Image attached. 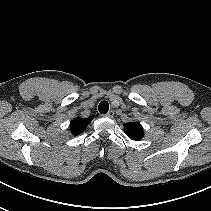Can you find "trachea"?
<instances>
[{
  "label": "trachea",
  "mask_w": 211,
  "mask_h": 211,
  "mask_svg": "<svg viewBox=\"0 0 211 211\" xmlns=\"http://www.w3.org/2000/svg\"><path fill=\"white\" fill-rule=\"evenodd\" d=\"M98 109H99V112L100 113H103V114L107 113L108 110H109V104H108V102L107 101L100 102V104L98 106Z\"/></svg>",
  "instance_id": "3493384b"
}]
</instances>
